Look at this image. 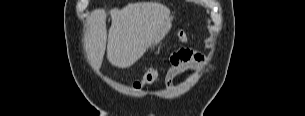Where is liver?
Listing matches in <instances>:
<instances>
[{
    "instance_id": "1",
    "label": "liver",
    "mask_w": 305,
    "mask_h": 116,
    "mask_svg": "<svg viewBox=\"0 0 305 116\" xmlns=\"http://www.w3.org/2000/svg\"><path fill=\"white\" fill-rule=\"evenodd\" d=\"M112 19L106 29L108 13L91 12L87 20L84 45L87 59L94 70L101 67L107 45V59L118 68H129L140 59L169 19L170 10L157 2L129 3L123 9L109 11Z\"/></svg>"
}]
</instances>
